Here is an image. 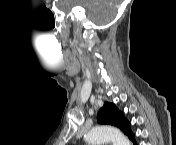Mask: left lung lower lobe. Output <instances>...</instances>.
Returning a JSON list of instances; mask_svg holds the SVG:
<instances>
[{
	"instance_id": "1",
	"label": "left lung lower lobe",
	"mask_w": 176,
	"mask_h": 145,
	"mask_svg": "<svg viewBox=\"0 0 176 145\" xmlns=\"http://www.w3.org/2000/svg\"><path fill=\"white\" fill-rule=\"evenodd\" d=\"M131 140L133 141L134 145H137L134 136L131 138Z\"/></svg>"
}]
</instances>
